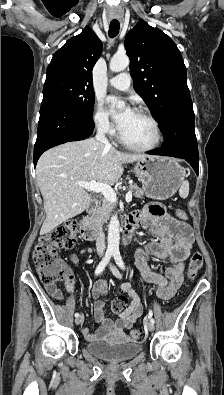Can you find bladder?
Wrapping results in <instances>:
<instances>
[{
	"label": "bladder",
	"instance_id": "obj_1",
	"mask_svg": "<svg viewBox=\"0 0 224 395\" xmlns=\"http://www.w3.org/2000/svg\"><path fill=\"white\" fill-rule=\"evenodd\" d=\"M85 349L92 355L108 361L122 362L136 357L142 351V344L122 337L119 341H96L85 344Z\"/></svg>",
	"mask_w": 224,
	"mask_h": 395
}]
</instances>
